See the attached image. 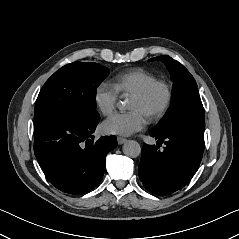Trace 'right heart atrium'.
<instances>
[{"instance_id":"right-heart-atrium-1","label":"right heart atrium","mask_w":239,"mask_h":239,"mask_svg":"<svg viewBox=\"0 0 239 239\" xmlns=\"http://www.w3.org/2000/svg\"><path fill=\"white\" fill-rule=\"evenodd\" d=\"M117 99L118 93L116 88L103 85L98 89L97 105L104 114L109 115L114 111Z\"/></svg>"}]
</instances>
